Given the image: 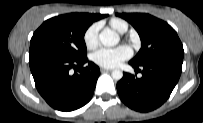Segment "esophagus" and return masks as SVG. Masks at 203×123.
Returning a JSON list of instances; mask_svg holds the SVG:
<instances>
[{
    "label": "esophagus",
    "mask_w": 203,
    "mask_h": 123,
    "mask_svg": "<svg viewBox=\"0 0 203 123\" xmlns=\"http://www.w3.org/2000/svg\"><path fill=\"white\" fill-rule=\"evenodd\" d=\"M102 73H105V72H111L112 69H106V68H101L100 69Z\"/></svg>",
    "instance_id": "1"
}]
</instances>
